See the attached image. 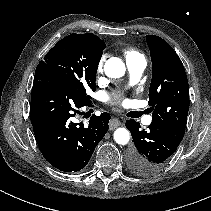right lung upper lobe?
Returning a JSON list of instances; mask_svg holds the SVG:
<instances>
[{
  "instance_id": "cb5924a9",
  "label": "right lung upper lobe",
  "mask_w": 211,
  "mask_h": 211,
  "mask_svg": "<svg viewBox=\"0 0 211 211\" xmlns=\"http://www.w3.org/2000/svg\"><path fill=\"white\" fill-rule=\"evenodd\" d=\"M82 36L93 41L100 50H102V51L104 50L105 43L98 36H96L92 33L82 34Z\"/></svg>"
}]
</instances>
